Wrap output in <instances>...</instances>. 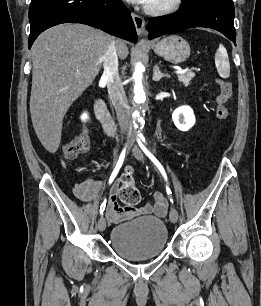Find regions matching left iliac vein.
<instances>
[{
  "label": "left iliac vein",
  "instance_id": "1",
  "mask_svg": "<svg viewBox=\"0 0 261 306\" xmlns=\"http://www.w3.org/2000/svg\"><path fill=\"white\" fill-rule=\"evenodd\" d=\"M134 140H131L130 143V147L133 146ZM132 154L134 155V157L139 160V161H143L144 160V154L142 153V151L140 150V148L137 145H134L132 147ZM169 218L171 220L172 223H176L178 220V212L175 208H171L170 210V214H169Z\"/></svg>",
  "mask_w": 261,
  "mask_h": 306
}]
</instances>
